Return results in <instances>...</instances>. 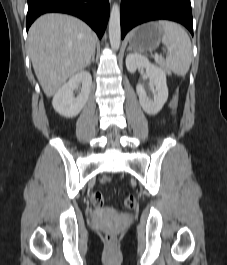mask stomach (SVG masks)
I'll return each instance as SVG.
<instances>
[{"mask_svg": "<svg viewBox=\"0 0 227 265\" xmlns=\"http://www.w3.org/2000/svg\"><path fill=\"white\" fill-rule=\"evenodd\" d=\"M162 35V29L155 23L142 25L130 34V47L139 51L155 50L162 40Z\"/></svg>", "mask_w": 227, "mask_h": 265, "instance_id": "obj_1", "label": "stomach"}]
</instances>
